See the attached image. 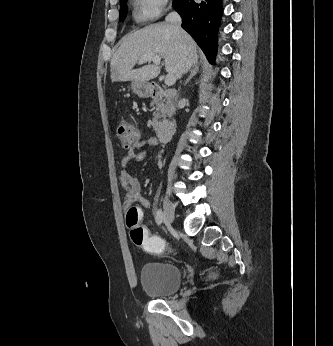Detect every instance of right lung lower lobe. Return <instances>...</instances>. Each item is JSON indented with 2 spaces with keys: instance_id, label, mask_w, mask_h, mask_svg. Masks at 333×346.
I'll return each mask as SVG.
<instances>
[{
  "instance_id": "obj_1",
  "label": "right lung lower lobe",
  "mask_w": 333,
  "mask_h": 346,
  "mask_svg": "<svg viewBox=\"0 0 333 346\" xmlns=\"http://www.w3.org/2000/svg\"><path fill=\"white\" fill-rule=\"evenodd\" d=\"M173 8L183 18L182 28L193 37L213 64L217 51V30L223 14L222 0H173Z\"/></svg>"
}]
</instances>
